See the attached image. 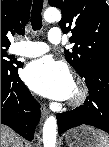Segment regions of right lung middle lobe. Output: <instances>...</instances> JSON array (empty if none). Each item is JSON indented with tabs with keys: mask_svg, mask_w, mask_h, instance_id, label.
<instances>
[{
	"mask_svg": "<svg viewBox=\"0 0 109 147\" xmlns=\"http://www.w3.org/2000/svg\"><path fill=\"white\" fill-rule=\"evenodd\" d=\"M8 58L7 52L5 48H1V65L8 66L11 64L10 61H7Z\"/></svg>",
	"mask_w": 109,
	"mask_h": 147,
	"instance_id": "dd1d6c3e",
	"label": "right lung middle lobe"
}]
</instances>
